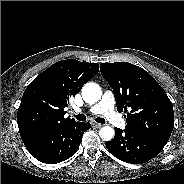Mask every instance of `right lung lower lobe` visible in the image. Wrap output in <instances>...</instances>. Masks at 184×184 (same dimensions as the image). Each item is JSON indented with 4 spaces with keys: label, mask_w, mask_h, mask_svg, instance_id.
I'll use <instances>...</instances> for the list:
<instances>
[{
    "label": "right lung lower lobe",
    "mask_w": 184,
    "mask_h": 184,
    "mask_svg": "<svg viewBox=\"0 0 184 184\" xmlns=\"http://www.w3.org/2000/svg\"><path fill=\"white\" fill-rule=\"evenodd\" d=\"M89 122H72L64 127L51 129L23 140L30 154L38 161L56 164L73 156L90 129Z\"/></svg>",
    "instance_id": "right-lung-lower-lobe-1"
}]
</instances>
